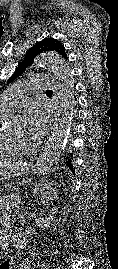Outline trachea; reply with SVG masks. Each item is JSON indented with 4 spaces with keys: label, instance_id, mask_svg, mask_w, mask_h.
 Returning <instances> with one entry per match:
<instances>
[{
    "label": "trachea",
    "instance_id": "1",
    "mask_svg": "<svg viewBox=\"0 0 118 269\" xmlns=\"http://www.w3.org/2000/svg\"><path fill=\"white\" fill-rule=\"evenodd\" d=\"M46 92H52V90H46Z\"/></svg>",
    "mask_w": 118,
    "mask_h": 269
}]
</instances>
